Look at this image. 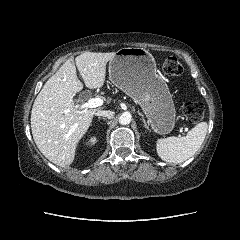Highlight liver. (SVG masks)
Returning <instances> with one entry per match:
<instances>
[{
	"instance_id": "obj_1",
	"label": "liver",
	"mask_w": 240,
	"mask_h": 240,
	"mask_svg": "<svg viewBox=\"0 0 240 240\" xmlns=\"http://www.w3.org/2000/svg\"><path fill=\"white\" fill-rule=\"evenodd\" d=\"M115 55V52L87 51L77 56L75 63L72 58L66 60L37 95L31 111L32 135L38 149L52 163L60 167L72 164L80 139L96 111L101 109L75 107L73 97L83 89L76 66L86 87L101 88L105 83L106 65Z\"/></svg>"
}]
</instances>
